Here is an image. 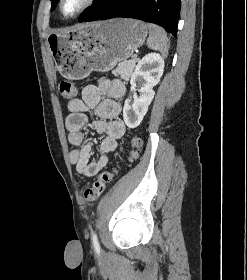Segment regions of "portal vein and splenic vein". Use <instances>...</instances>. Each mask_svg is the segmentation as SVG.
<instances>
[{"label": "portal vein and splenic vein", "instance_id": "18ae733b", "mask_svg": "<svg viewBox=\"0 0 247 280\" xmlns=\"http://www.w3.org/2000/svg\"><path fill=\"white\" fill-rule=\"evenodd\" d=\"M132 58H133V59H137V54H134V55L132 56Z\"/></svg>", "mask_w": 247, "mask_h": 280}]
</instances>
